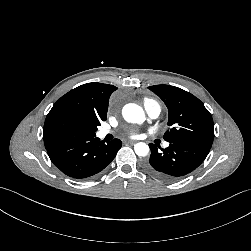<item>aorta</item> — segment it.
<instances>
[{
	"instance_id": "762f6f07",
	"label": "aorta",
	"mask_w": 251,
	"mask_h": 251,
	"mask_svg": "<svg viewBox=\"0 0 251 251\" xmlns=\"http://www.w3.org/2000/svg\"><path fill=\"white\" fill-rule=\"evenodd\" d=\"M124 119L129 123H143L145 115L143 109L134 103L126 104L122 110ZM135 153L144 157L149 152V146L144 142H139L134 146Z\"/></svg>"
}]
</instances>
